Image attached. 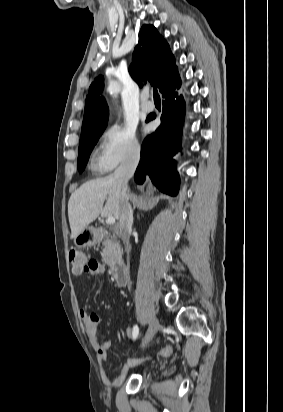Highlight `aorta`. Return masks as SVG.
<instances>
[{
    "label": "aorta",
    "mask_w": 283,
    "mask_h": 412,
    "mask_svg": "<svg viewBox=\"0 0 283 412\" xmlns=\"http://www.w3.org/2000/svg\"><path fill=\"white\" fill-rule=\"evenodd\" d=\"M109 92L114 96V97H116L117 96V93H118V91H119V87H118V85L117 84H111L110 86H109Z\"/></svg>",
    "instance_id": "aorta-1"
}]
</instances>
